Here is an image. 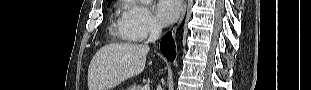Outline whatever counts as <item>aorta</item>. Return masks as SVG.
Returning a JSON list of instances; mask_svg holds the SVG:
<instances>
[{
  "label": "aorta",
  "instance_id": "762f6f07",
  "mask_svg": "<svg viewBox=\"0 0 311 90\" xmlns=\"http://www.w3.org/2000/svg\"><path fill=\"white\" fill-rule=\"evenodd\" d=\"M152 2V0H141V3L144 5H148Z\"/></svg>",
  "mask_w": 311,
  "mask_h": 90
}]
</instances>
